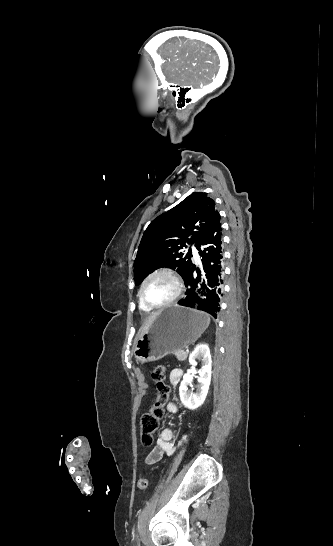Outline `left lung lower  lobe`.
<instances>
[{
  "instance_id": "obj_1",
  "label": "left lung lower lobe",
  "mask_w": 333,
  "mask_h": 546,
  "mask_svg": "<svg viewBox=\"0 0 333 546\" xmlns=\"http://www.w3.org/2000/svg\"><path fill=\"white\" fill-rule=\"evenodd\" d=\"M220 215L217 216L211 226L200 236L196 243L202 261L204 279L193 276L195 265L187 271L184 278L186 292L185 297L178 304L205 311L214 318L220 311V303L223 286V262H222V236Z\"/></svg>"
}]
</instances>
